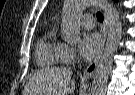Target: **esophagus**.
Listing matches in <instances>:
<instances>
[{"instance_id": "34e87169", "label": "esophagus", "mask_w": 135, "mask_h": 95, "mask_svg": "<svg viewBox=\"0 0 135 95\" xmlns=\"http://www.w3.org/2000/svg\"><path fill=\"white\" fill-rule=\"evenodd\" d=\"M102 33H103V43H102V47L100 52L97 54V56L95 57V59L85 68L84 73H83V77L82 79L87 80L89 78H91L95 72V69L98 65L99 59L101 57L103 48H104V43H105V39L107 36V20L106 18L104 19L103 25H102Z\"/></svg>"}]
</instances>
